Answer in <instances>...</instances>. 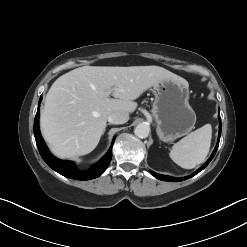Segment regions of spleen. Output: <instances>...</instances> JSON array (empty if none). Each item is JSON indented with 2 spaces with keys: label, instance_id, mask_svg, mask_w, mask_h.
I'll return each instance as SVG.
<instances>
[{
  "label": "spleen",
  "instance_id": "spleen-1",
  "mask_svg": "<svg viewBox=\"0 0 247 247\" xmlns=\"http://www.w3.org/2000/svg\"><path fill=\"white\" fill-rule=\"evenodd\" d=\"M212 127L206 124L193 131L170 150V158L180 167L192 169L204 162L211 144Z\"/></svg>",
  "mask_w": 247,
  "mask_h": 247
}]
</instances>
